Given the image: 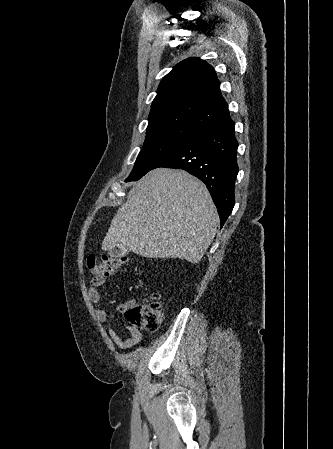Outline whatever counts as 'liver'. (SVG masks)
Here are the masks:
<instances>
[{
    "instance_id": "obj_1",
    "label": "liver",
    "mask_w": 333,
    "mask_h": 449,
    "mask_svg": "<svg viewBox=\"0 0 333 449\" xmlns=\"http://www.w3.org/2000/svg\"><path fill=\"white\" fill-rule=\"evenodd\" d=\"M218 225L217 210L201 181L183 170L157 168L134 183L102 250L122 245L143 257L198 263Z\"/></svg>"
}]
</instances>
